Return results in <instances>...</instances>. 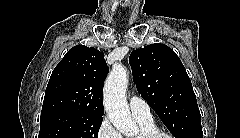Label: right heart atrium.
Segmentation results:
<instances>
[{
  "label": "right heart atrium",
  "mask_w": 240,
  "mask_h": 138,
  "mask_svg": "<svg viewBox=\"0 0 240 138\" xmlns=\"http://www.w3.org/2000/svg\"><path fill=\"white\" fill-rule=\"evenodd\" d=\"M96 136L97 138H123L107 117H104L99 124Z\"/></svg>",
  "instance_id": "right-heart-atrium-1"
}]
</instances>
